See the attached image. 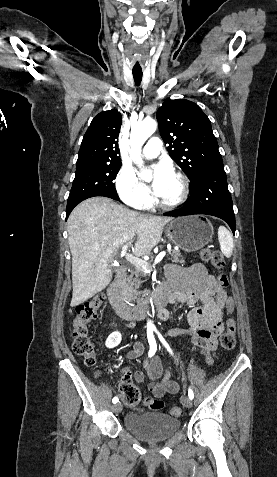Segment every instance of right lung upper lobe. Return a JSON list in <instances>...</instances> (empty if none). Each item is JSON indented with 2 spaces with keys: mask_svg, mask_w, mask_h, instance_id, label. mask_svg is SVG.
<instances>
[{
  "mask_svg": "<svg viewBox=\"0 0 277 477\" xmlns=\"http://www.w3.org/2000/svg\"><path fill=\"white\" fill-rule=\"evenodd\" d=\"M121 123V114L116 109L96 115L83 137L76 168L121 163L118 149Z\"/></svg>",
  "mask_w": 277,
  "mask_h": 477,
  "instance_id": "right-lung-upper-lobe-1",
  "label": "right lung upper lobe"
}]
</instances>
